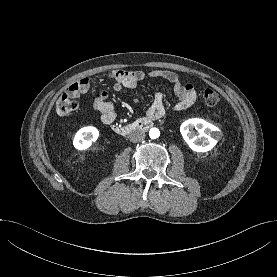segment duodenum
Segmentation results:
<instances>
[{
	"instance_id": "1",
	"label": "duodenum",
	"mask_w": 277,
	"mask_h": 277,
	"mask_svg": "<svg viewBox=\"0 0 277 277\" xmlns=\"http://www.w3.org/2000/svg\"><path fill=\"white\" fill-rule=\"evenodd\" d=\"M153 120V118L144 117L125 125L113 124L112 129L120 135H128L137 131H147L153 126Z\"/></svg>"
}]
</instances>
